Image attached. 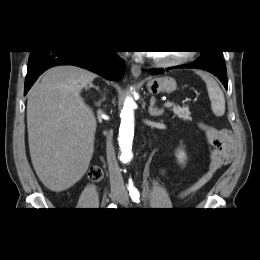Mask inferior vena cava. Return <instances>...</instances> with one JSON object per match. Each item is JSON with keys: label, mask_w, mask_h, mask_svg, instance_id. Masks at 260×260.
<instances>
[{"label": "inferior vena cava", "mask_w": 260, "mask_h": 260, "mask_svg": "<svg viewBox=\"0 0 260 260\" xmlns=\"http://www.w3.org/2000/svg\"><path fill=\"white\" fill-rule=\"evenodd\" d=\"M107 161L109 166V174H110V184L112 188H121L124 189V181L121 175V170L119 168L114 147L112 145V134H108L107 136Z\"/></svg>", "instance_id": "obj_1"}]
</instances>
